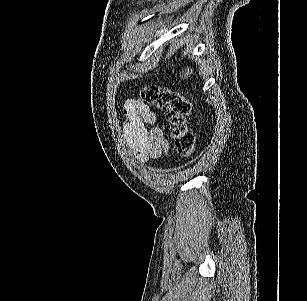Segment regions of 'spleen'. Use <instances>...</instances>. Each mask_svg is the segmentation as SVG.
<instances>
[{"mask_svg":"<svg viewBox=\"0 0 307 301\" xmlns=\"http://www.w3.org/2000/svg\"><path fill=\"white\" fill-rule=\"evenodd\" d=\"M182 74L180 76H184V78H188L190 74H192V68H185V70H181Z\"/></svg>","mask_w":307,"mask_h":301,"instance_id":"spleen-1","label":"spleen"}]
</instances>
